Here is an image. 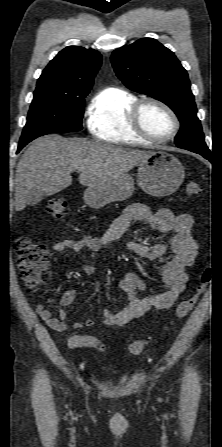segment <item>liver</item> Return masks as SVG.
I'll return each instance as SVG.
<instances>
[{
  "label": "liver",
  "instance_id": "obj_1",
  "mask_svg": "<svg viewBox=\"0 0 222 447\" xmlns=\"http://www.w3.org/2000/svg\"><path fill=\"white\" fill-rule=\"evenodd\" d=\"M153 154L82 138L46 135L36 139L18 162L15 209L22 211L37 194L54 195L72 184L78 170L83 186H99L113 180Z\"/></svg>",
  "mask_w": 222,
  "mask_h": 447
}]
</instances>
